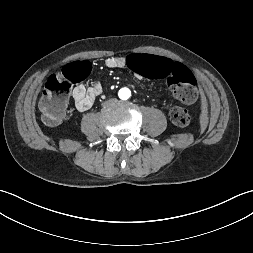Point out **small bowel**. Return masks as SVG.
Instances as JSON below:
<instances>
[{"label":"small bowel","mask_w":253,"mask_h":253,"mask_svg":"<svg viewBox=\"0 0 253 253\" xmlns=\"http://www.w3.org/2000/svg\"><path fill=\"white\" fill-rule=\"evenodd\" d=\"M127 57L111 56L105 60V65L112 69L125 68ZM101 93L102 87L100 84H94L90 87L83 84L76 86L72 92V97L77 110L83 112L90 109Z\"/></svg>","instance_id":"small-bowel-1"}]
</instances>
